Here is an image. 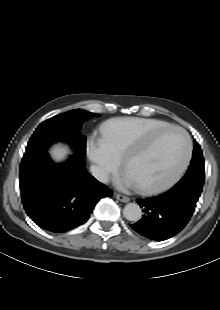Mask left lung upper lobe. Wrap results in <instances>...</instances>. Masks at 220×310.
<instances>
[{
    "mask_svg": "<svg viewBox=\"0 0 220 310\" xmlns=\"http://www.w3.org/2000/svg\"><path fill=\"white\" fill-rule=\"evenodd\" d=\"M204 159L199 144L194 146V153L190 167L184 177L178 182L180 185H195L202 189L204 183Z\"/></svg>",
    "mask_w": 220,
    "mask_h": 310,
    "instance_id": "left-lung-upper-lobe-1",
    "label": "left lung upper lobe"
}]
</instances>
